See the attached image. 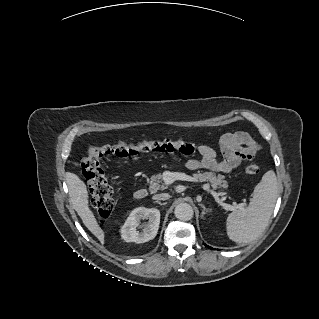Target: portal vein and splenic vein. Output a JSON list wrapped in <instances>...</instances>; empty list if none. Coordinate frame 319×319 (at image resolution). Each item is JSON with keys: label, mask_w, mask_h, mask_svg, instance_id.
<instances>
[{"label": "portal vein and splenic vein", "mask_w": 319, "mask_h": 319, "mask_svg": "<svg viewBox=\"0 0 319 319\" xmlns=\"http://www.w3.org/2000/svg\"><path fill=\"white\" fill-rule=\"evenodd\" d=\"M176 180H188V181H194L196 180L193 177H190L188 175H185L183 173H178V172H166L163 175V181L165 185H169L172 184L174 181ZM212 195L218 200V196L221 195V193H216L214 191H211ZM221 203V202H220ZM223 206H225L226 209L228 210H233L234 208H239V209H243L244 205L243 204H239V205H227V204H222Z\"/></svg>", "instance_id": "obj_1"}]
</instances>
